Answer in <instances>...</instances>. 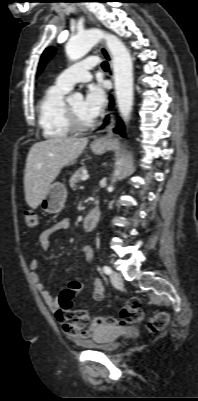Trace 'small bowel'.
<instances>
[{"instance_id":"c3829d8e","label":"small bowel","mask_w":198,"mask_h":401,"mask_svg":"<svg viewBox=\"0 0 198 401\" xmlns=\"http://www.w3.org/2000/svg\"><path fill=\"white\" fill-rule=\"evenodd\" d=\"M70 222L67 219L60 220L51 226L44 229L38 236L36 246L46 251L49 247V238L58 233L67 231L69 229ZM83 253L86 258L88 266L92 262V250L90 246L83 247ZM30 273L33 280L36 283L37 290L42 296L43 300L49 307L50 311L54 314L55 319L62 325L64 334L71 338L72 340L79 343H86L90 337H95L98 332L105 326L99 325L94 320L89 321L86 326H80L78 322V317L70 314L69 312L61 309L59 307V302L55 299L50 292L45 288L42 283L40 276L37 272L38 261L33 259L30 262ZM77 287L75 288V293L82 290V284L79 282H74ZM92 298L94 301H102L104 299V286L100 279L96 278L93 281ZM87 327V328H86Z\"/></svg>"}]
</instances>
